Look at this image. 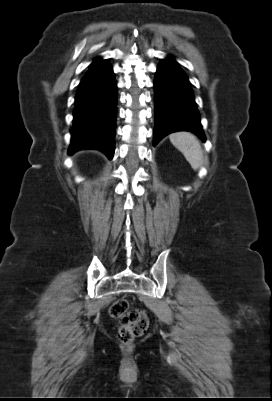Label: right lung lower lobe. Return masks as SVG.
Here are the masks:
<instances>
[{
	"mask_svg": "<svg viewBox=\"0 0 272 401\" xmlns=\"http://www.w3.org/2000/svg\"><path fill=\"white\" fill-rule=\"evenodd\" d=\"M117 85L112 67L96 59L77 90L69 155L97 149L109 159L114 155Z\"/></svg>",
	"mask_w": 272,
	"mask_h": 401,
	"instance_id": "98d812e1",
	"label": "right lung lower lobe"
}]
</instances>
